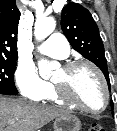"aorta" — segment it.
<instances>
[{
    "mask_svg": "<svg viewBox=\"0 0 117 131\" xmlns=\"http://www.w3.org/2000/svg\"><path fill=\"white\" fill-rule=\"evenodd\" d=\"M56 21L53 17L38 18L34 25V36L41 41L49 36L55 29ZM55 63L46 59L38 61L39 74L43 78H47L55 68Z\"/></svg>",
    "mask_w": 117,
    "mask_h": 131,
    "instance_id": "aorta-1",
    "label": "aorta"
}]
</instances>
